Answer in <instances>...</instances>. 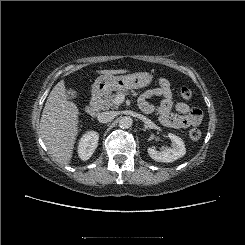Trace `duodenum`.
<instances>
[{"instance_id":"410a0bca","label":"duodenum","mask_w":245,"mask_h":245,"mask_svg":"<svg viewBox=\"0 0 245 245\" xmlns=\"http://www.w3.org/2000/svg\"><path fill=\"white\" fill-rule=\"evenodd\" d=\"M100 99H101V95L99 92L94 91L91 94L90 103L85 108L86 115L94 117L98 114L100 109Z\"/></svg>"}]
</instances>
